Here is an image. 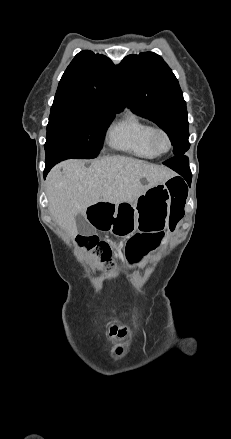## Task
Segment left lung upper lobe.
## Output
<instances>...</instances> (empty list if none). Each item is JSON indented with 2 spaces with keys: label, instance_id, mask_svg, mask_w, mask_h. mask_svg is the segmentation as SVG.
Here are the masks:
<instances>
[{
  "label": "left lung upper lobe",
  "instance_id": "obj_1",
  "mask_svg": "<svg viewBox=\"0 0 231 439\" xmlns=\"http://www.w3.org/2000/svg\"><path fill=\"white\" fill-rule=\"evenodd\" d=\"M116 69L128 108L162 128L175 157L183 156L189 149L186 102L169 66L159 55L144 52L126 56Z\"/></svg>",
  "mask_w": 231,
  "mask_h": 439
}]
</instances>
